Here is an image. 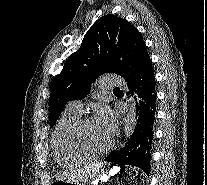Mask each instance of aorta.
Wrapping results in <instances>:
<instances>
[{"label":"aorta","mask_w":207,"mask_h":185,"mask_svg":"<svg viewBox=\"0 0 207 185\" xmlns=\"http://www.w3.org/2000/svg\"><path fill=\"white\" fill-rule=\"evenodd\" d=\"M136 126V103L130 99L128 101L127 110L123 119V131L125 142L131 137Z\"/></svg>","instance_id":"obj_1"}]
</instances>
